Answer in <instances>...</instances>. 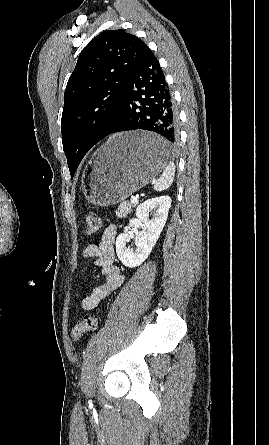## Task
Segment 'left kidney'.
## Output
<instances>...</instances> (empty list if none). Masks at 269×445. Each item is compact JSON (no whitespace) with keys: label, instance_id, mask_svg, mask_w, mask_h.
I'll return each mask as SVG.
<instances>
[{"label":"left kidney","instance_id":"obj_1","mask_svg":"<svg viewBox=\"0 0 269 445\" xmlns=\"http://www.w3.org/2000/svg\"><path fill=\"white\" fill-rule=\"evenodd\" d=\"M171 207L169 196H160L146 200L136 209L135 218L131 219L124 232L116 239V253L120 261L129 268L141 265L149 256L158 240L167 221L168 212ZM151 212L152 218L149 219ZM138 226L142 231L134 233ZM134 238L136 248L130 249L126 243Z\"/></svg>","mask_w":269,"mask_h":445}]
</instances>
